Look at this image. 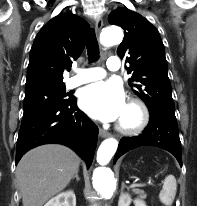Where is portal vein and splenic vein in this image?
<instances>
[{
  "label": "portal vein and splenic vein",
  "instance_id": "obj_1",
  "mask_svg": "<svg viewBox=\"0 0 197 206\" xmlns=\"http://www.w3.org/2000/svg\"><path fill=\"white\" fill-rule=\"evenodd\" d=\"M148 185L150 186H154V184L152 182H147ZM146 184H141V183H133L130 185L131 188H134V187H143L145 186Z\"/></svg>",
  "mask_w": 197,
  "mask_h": 206
}]
</instances>
